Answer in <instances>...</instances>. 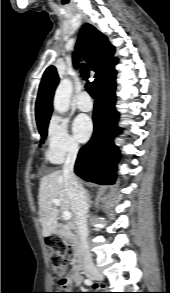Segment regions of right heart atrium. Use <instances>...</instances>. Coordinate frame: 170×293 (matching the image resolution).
Instances as JSON below:
<instances>
[{
    "instance_id": "right-heart-atrium-1",
    "label": "right heart atrium",
    "mask_w": 170,
    "mask_h": 293,
    "mask_svg": "<svg viewBox=\"0 0 170 293\" xmlns=\"http://www.w3.org/2000/svg\"><path fill=\"white\" fill-rule=\"evenodd\" d=\"M78 151L79 145L69 133L67 120L59 116L52 117L47 129V154L50 161L62 163Z\"/></svg>"
}]
</instances>
